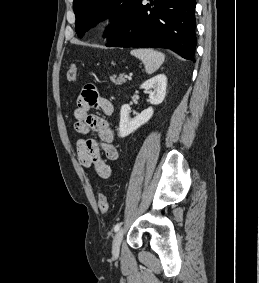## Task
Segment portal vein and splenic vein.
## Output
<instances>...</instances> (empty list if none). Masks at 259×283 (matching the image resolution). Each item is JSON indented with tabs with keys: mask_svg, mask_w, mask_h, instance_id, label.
<instances>
[{
	"mask_svg": "<svg viewBox=\"0 0 259 283\" xmlns=\"http://www.w3.org/2000/svg\"><path fill=\"white\" fill-rule=\"evenodd\" d=\"M125 77H126L127 79H129V80L132 79L131 76H128V75H126Z\"/></svg>",
	"mask_w": 259,
	"mask_h": 283,
	"instance_id": "1",
	"label": "portal vein and splenic vein"
}]
</instances>
